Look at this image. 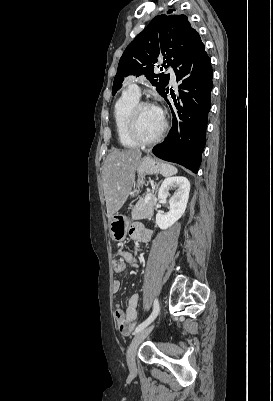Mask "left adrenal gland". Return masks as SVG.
I'll return each mask as SVG.
<instances>
[{
    "label": "left adrenal gland",
    "instance_id": "left-adrenal-gland-1",
    "mask_svg": "<svg viewBox=\"0 0 273 401\" xmlns=\"http://www.w3.org/2000/svg\"><path fill=\"white\" fill-rule=\"evenodd\" d=\"M160 182H161V180H159V182H157V184L155 182V194H157V192H158Z\"/></svg>",
    "mask_w": 273,
    "mask_h": 401
}]
</instances>
